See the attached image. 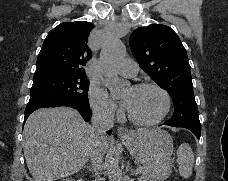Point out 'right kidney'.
<instances>
[{"label": "right kidney", "mask_w": 228, "mask_h": 181, "mask_svg": "<svg viewBox=\"0 0 228 181\" xmlns=\"http://www.w3.org/2000/svg\"><path fill=\"white\" fill-rule=\"evenodd\" d=\"M63 181H68V179H63ZM79 181H82V179H79Z\"/></svg>", "instance_id": "obj_1"}]
</instances>
